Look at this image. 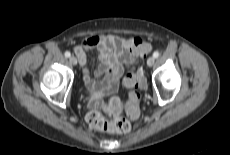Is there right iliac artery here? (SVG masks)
Here are the masks:
<instances>
[{"label": "right iliac artery", "instance_id": "right-iliac-artery-1", "mask_svg": "<svg viewBox=\"0 0 230 155\" xmlns=\"http://www.w3.org/2000/svg\"><path fill=\"white\" fill-rule=\"evenodd\" d=\"M70 55H71V54H70L69 51H66V52H65V56H66V57H70Z\"/></svg>", "mask_w": 230, "mask_h": 155}]
</instances>
